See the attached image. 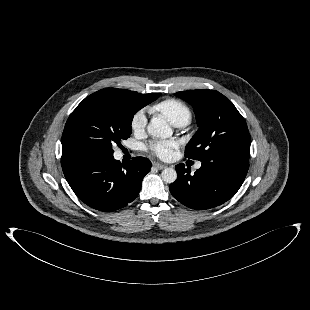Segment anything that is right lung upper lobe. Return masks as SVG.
<instances>
[{"label":"right lung upper lobe","mask_w":310,"mask_h":310,"mask_svg":"<svg viewBox=\"0 0 310 310\" xmlns=\"http://www.w3.org/2000/svg\"><path fill=\"white\" fill-rule=\"evenodd\" d=\"M97 93H108L110 95L116 96L121 99H125L134 103H141L145 100L152 98L157 93L150 94H139L134 91L126 90V89H115V88H107L103 90L97 91Z\"/></svg>","instance_id":"1"}]
</instances>
